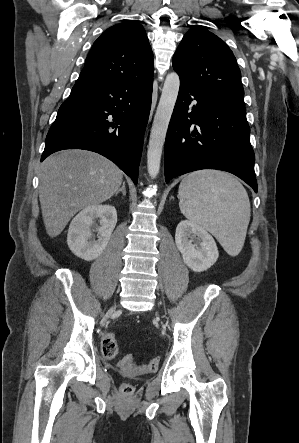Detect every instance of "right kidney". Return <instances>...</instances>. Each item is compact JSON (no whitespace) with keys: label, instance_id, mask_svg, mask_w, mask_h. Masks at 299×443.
Instances as JSON below:
<instances>
[{"label":"right kidney","instance_id":"obj_1","mask_svg":"<svg viewBox=\"0 0 299 443\" xmlns=\"http://www.w3.org/2000/svg\"><path fill=\"white\" fill-rule=\"evenodd\" d=\"M99 219L100 226H97ZM117 223V212L111 205H91L71 221L67 244L70 250L85 261L96 259L106 248ZM98 233V239L92 232Z\"/></svg>","mask_w":299,"mask_h":443}]
</instances>
